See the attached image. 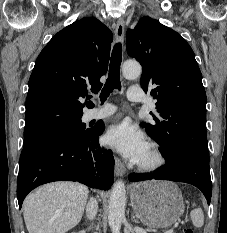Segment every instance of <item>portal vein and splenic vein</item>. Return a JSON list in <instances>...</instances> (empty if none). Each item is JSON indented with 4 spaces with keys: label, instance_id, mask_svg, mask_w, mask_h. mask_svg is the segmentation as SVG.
Segmentation results:
<instances>
[{
    "label": "portal vein and splenic vein",
    "instance_id": "1",
    "mask_svg": "<svg viewBox=\"0 0 227 233\" xmlns=\"http://www.w3.org/2000/svg\"><path fill=\"white\" fill-rule=\"evenodd\" d=\"M166 233H173V229L168 230Z\"/></svg>",
    "mask_w": 227,
    "mask_h": 233
}]
</instances>
